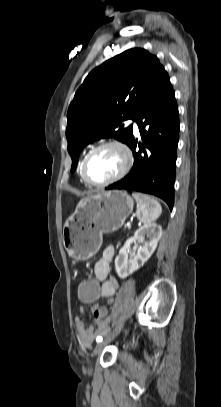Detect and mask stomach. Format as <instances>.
<instances>
[{"instance_id":"obj_1","label":"stomach","mask_w":221,"mask_h":407,"mask_svg":"<svg viewBox=\"0 0 221 407\" xmlns=\"http://www.w3.org/2000/svg\"><path fill=\"white\" fill-rule=\"evenodd\" d=\"M133 200L125 191L113 190L82 198L63 228V245L74 260L94 256L104 233L122 227L133 210Z\"/></svg>"}]
</instances>
